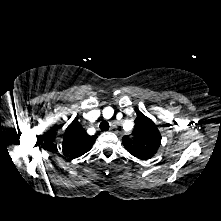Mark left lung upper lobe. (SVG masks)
Segmentation results:
<instances>
[{
  "label": "left lung upper lobe",
  "mask_w": 221,
  "mask_h": 221,
  "mask_svg": "<svg viewBox=\"0 0 221 221\" xmlns=\"http://www.w3.org/2000/svg\"><path fill=\"white\" fill-rule=\"evenodd\" d=\"M133 137L124 136L122 139L126 150L142 160L150 159L157 152L161 143V135L153 121L139 112L135 119Z\"/></svg>",
  "instance_id": "1"
}]
</instances>
